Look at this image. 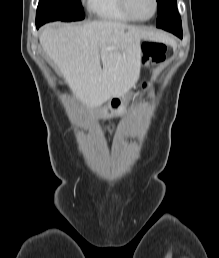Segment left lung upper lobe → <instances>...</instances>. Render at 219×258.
Returning <instances> with one entry per match:
<instances>
[{
	"label": "left lung upper lobe",
	"instance_id": "left-lung-upper-lobe-1",
	"mask_svg": "<svg viewBox=\"0 0 219 258\" xmlns=\"http://www.w3.org/2000/svg\"><path fill=\"white\" fill-rule=\"evenodd\" d=\"M158 18L156 26H181V18L177 10L176 0H157Z\"/></svg>",
	"mask_w": 219,
	"mask_h": 258
}]
</instances>
